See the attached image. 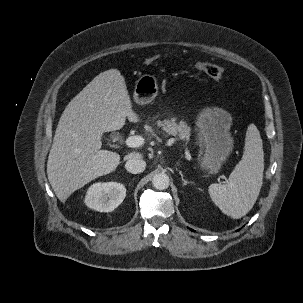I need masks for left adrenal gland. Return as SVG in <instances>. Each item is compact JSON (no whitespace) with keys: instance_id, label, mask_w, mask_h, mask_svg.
Returning a JSON list of instances; mask_svg holds the SVG:
<instances>
[{"instance_id":"a2214340","label":"left adrenal gland","mask_w":303,"mask_h":303,"mask_svg":"<svg viewBox=\"0 0 303 303\" xmlns=\"http://www.w3.org/2000/svg\"><path fill=\"white\" fill-rule=\"evenodd\" d=\"M179 174L181 176V179H182V182H183V186H186L187 184H192V182L187 181V180L184 179V176H183V174H182L181 171H179Z\"/></svg>"}]
</instances>
